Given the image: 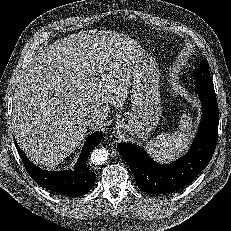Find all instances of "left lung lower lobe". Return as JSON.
<instances>
[{"label":"left lung lower lobe","instance_id":"obj_1","mask_svg":"<svg viewBox=\"0 0 231 231\" xmlns=\"http://www.w3.org/2000/svg\"><path fill=\"white\" fill-rule=\"evenodd\" d=\"M196 89L203 106L197 136L189 152L169 165H159L136 145L120 143L117 150L131 168L137 186L144 192L164 194L177 191L208 165L218 139L219 112L213 83L196 81Z\"/></svg>","mask_w":231,"mask_h":231}]
</instances>
